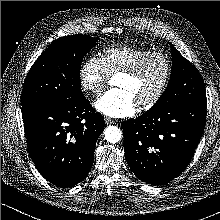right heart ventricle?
<instances>
[{
	"instance_id": "obj_1",
	"label": "right heart ventricle",
	"mask_w": 220,
	"mask_h": 220,
	"mask_svg": "<svg viewBox=\"0 0 220 220\" xmlns=\"http://www.w3.org/2000/svg\"><path fill=\"white\" fill-rule=\"evenodd\" d=\"M149 52L152 50L148 48L127 45L113 46L103 50L102 60L109 75H116Z\"/></svg>"
}]
</instances>
